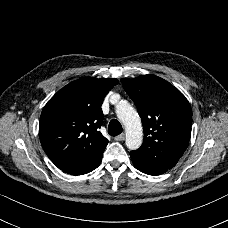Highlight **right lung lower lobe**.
<instances>
[{"instance_id":"1","label":"right lung lower lobe","mask_w":228,"mask_h":228,"mask_svg":"<svg viewBox=\"0 0 228 228\" xmlns=\"http://www.w3.org/2000/svg\"><path fill=\"white\" fill-rule=\"evenodd\" d=\"M103 152L99 153L94 158H92L89 162H87L79 167L67 169V170H63V171L66 173H69L71 175H83V174L89 173L100 165V163L102 161Z\"/></svg>"}]
</instances>
